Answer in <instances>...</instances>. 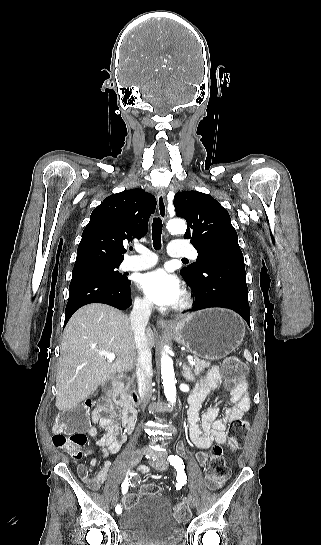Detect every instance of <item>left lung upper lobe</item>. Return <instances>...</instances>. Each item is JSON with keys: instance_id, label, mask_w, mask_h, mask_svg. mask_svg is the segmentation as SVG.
Instances as JSON below:
<instances>
[{"instance_id": "1", "label": "left lung upper lobe", "mask_w": 321, "mask_h": 545, "mask_svg": "<svg viewBox=\"0 0 321 545\" xmlns=\"http://www.w3.org/2000/svg\"><path fill=\"white\" fill-rule=\"evenodd\" d=\"M174 206L176 215L185 218L189 225L184 238L190 239L198 252L197 262L180 270L184 279L194 278L213 251L240 249L228 211L211 195L181 191L175 194Z\"/></svg>"}]
</instances>
